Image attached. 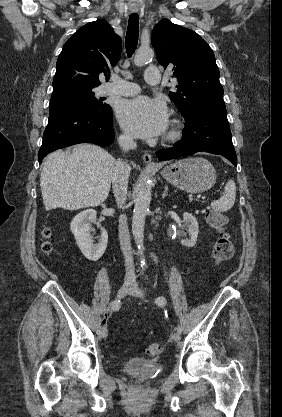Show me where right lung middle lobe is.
<instances>
[{
    "label": "right lung middle lobe",
    "mask_w": 282,
    "mask_h": 417,
    "mask_svg": "<svg viewBox=\"0 0 282 417\" xmlns=\"http://www.w3.org/2000/svg\"><path fill=\"white\" fill-rule=\"evenodd\" d=\"M69 106L95 107L103 109L108 107L94 97L93 89H78L53 93L50 100V113Z\"/></svg>",
    "instance_id": "dd1d6c3e"
}]
</instances>
